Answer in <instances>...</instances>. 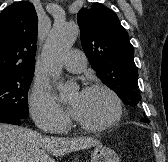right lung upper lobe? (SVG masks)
Returning <instances> with one entry per match:
<instances>
[{
    "mask_svg": "<svg viewBox=\"0 0 168 162\" xmlns=\"http://www.w3.org/2000/svg\"><path fill=\"white\" fill-rule=\"evenodd\" d=\"M38 17L21 1L0 13V78L34 71Z\"/></svg>",
    "mask_w": 168,
    "mask_h": 162,
    "instance_id": "cb5924a9",
    "label": "right lung upper lobe"
}]
</instances>
